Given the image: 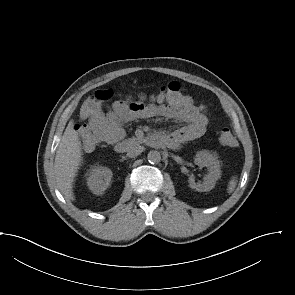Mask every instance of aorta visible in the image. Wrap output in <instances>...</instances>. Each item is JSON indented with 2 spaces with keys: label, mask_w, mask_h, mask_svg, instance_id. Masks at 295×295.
Segmentation results:
<instances>
[{
  "label": "aorta",
  "mask_w": 295,
  "mask_h": 295,
  "mask_svg": "<svg viewBox=\"0 0 295 295\" xmlns=\"http://www.w3.org/2000/svg\"><path fill=\"white\" fill-rule=\"evenodd\" d=\"M147 159H148L149 163H151V164H157L161 160V155H160V153L158 151L152 150V151H150L148 153Z\"/></svg>",
  "instance_id": "762f6f07"
}]
</instances>
